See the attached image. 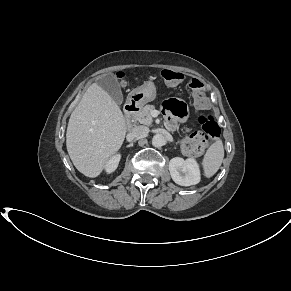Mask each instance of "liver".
<instances>
[{"label": "liver", "mask_w": 291, "mask_h": 291, "mask_svg": "<svg viewBox=\"0 0 291 291\" xmlns=\"http://www.w3.org/2000/svg\"><path fill=\"white\" fill-rule=\"evenodd\" d=\"M127 124L117 103L97 83L91 84L72 112L66 146L76 169L97 177L121 148Z\"/></svg>", "instance_id": "1"}]
</instances>
